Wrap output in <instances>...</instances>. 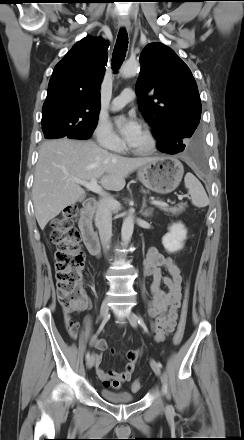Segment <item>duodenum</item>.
Instances as JSON below:
<instances>
[{
  "instance_id": "obj_1",
  "label": "duodenum",
  "mask_w": 244,
  "mask_h": 440,
  "mask_svg": "<svg viewBox=\"0 0 244 440\" xmlns=\"http://www.w3.org/2000/svg\"><path fill=\"white\" fill-rule=\"evenodd\" d=\"M96 206L97 201L94 198L87 199L80 211L79 219V229L82 239L89 253L93 256H98L100 254L99 238L92 226V219Z\"/></svg>"
}]
</instances>
